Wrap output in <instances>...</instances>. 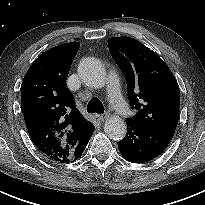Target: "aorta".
I'll return each mask as SVG.
<instances>
[{
	"label": "aorta",
	"mask_w": 205,
	"mask_h": 205,
	"mask_svg": "<svg viewBox=\"0 0 205 205\" xmlns=\"http://www.w3.org/2000/svg\"><path fill=\"white\" fill-rule=\"evenodd\" d=\"M78 74L82 81L90 87L101 88L105 85L106 72L96 58H85L78 66ZM104 131L113 140H120L126 135V124L117 116L109 117L104 124Z\"/></svg>",
	"instance_id": "aorta-1"
}]
</instances>
